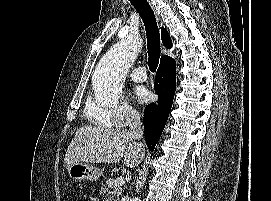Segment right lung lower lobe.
Masks as SVG:
<instances>
[{"label": "right lung lower lobe", "instance_id": "98d812e1", "mask_svg": "<svg viewBox=\"0 0 271 201\" xmlns=\"http://www.w3.org/2000/svg\"><path fill=\"white\" fill-rule=\"evenodd\" d=\"M176 63L169 60L160 64L154 89L158 102L149 104L144 111L145 139L150 151H153L166 125L176 90Z\"/></svg>", "mask_w": 271, "mask_h": 201}]
</instances>
